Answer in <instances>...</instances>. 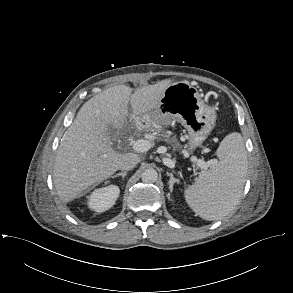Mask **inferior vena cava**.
<instances>
[{"instance_id":"1","label":"inferior vena cava","mask_w":293,"mask_h":293,"mask_svg":"<svg viewBox=\"0 0 293 293\" xmlns=\"http://www.w3.org/2000/svg\"><path fill=\"white\" fill-rule=\"evenodd\" d=\"M136 161L132 159L130 156H126V158L122 161L119 166L120 170H131L136 166Z\"/></svg>"}]
</instances>
